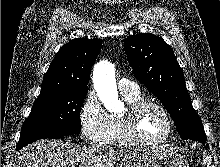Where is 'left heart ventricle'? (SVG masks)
Segmentation results:
<instances>
[{"label":"left heart ventricle","mask_w":220,"mask_h":167,"mask_svg":"<svg viewBox=\"0 0 220 167\" xmlns=\"http://www.w3.org/2000/svg\"><path fill=\"white\" fill-rule=\"evenodd\" d=\"M168 130V124L163 113L152 106L145 108L139 116L137 131L146 140L162 138Z\"/></svg>","instance_id":"1"}]
</instances>
